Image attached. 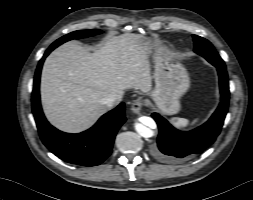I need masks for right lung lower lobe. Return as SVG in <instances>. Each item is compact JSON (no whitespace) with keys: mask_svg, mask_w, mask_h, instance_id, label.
<instances>
[{"mask_svg":"<svg viewBox=\"0 0 253 200\" xmlns=\"http://www.w3.org/2000/svg\"><path fill=\"white\" fill-rule=\"evenodd\" d=\"M56 47L50 46L47 49L35 72L32 110L40 138L53 154L68 163L99 165L111 154L115 135L126 121L124 103L103 115L93 127L79 134L64 133L50 125L42 112L39 83L43 62Z\"/></svg>","mask_w":253,"mask_h":200,"instance_id":"1","label":"right lung lower lobe"}]
</instances>
